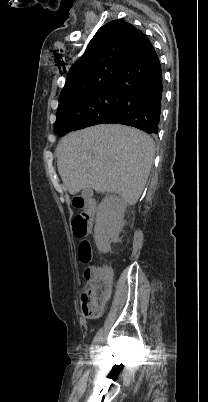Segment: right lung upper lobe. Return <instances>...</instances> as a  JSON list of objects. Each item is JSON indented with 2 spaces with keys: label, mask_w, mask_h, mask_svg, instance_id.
I'll list each match as a JSON object with an SVG mask.
<instances>
[{
  "label": "right lung upper lobe",
  "mask_w": 208,
  "mask_h": 402,
  "mask_svg": "<svg viewBox=\"0 0 208 402\" xmlns=\"http://www.w3.org/2000/svg\"><path fill=\"white\" fill-rule=\"evenodd\" d=\"M146 38L123 20L102 26L82 57L70 68L60 96L100 82L114 81Z\"/></svg>",
  "instance_id": "1"
}]
</instances>
